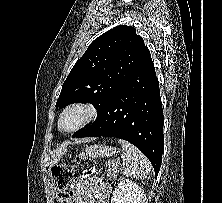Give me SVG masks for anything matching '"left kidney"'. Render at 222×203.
<instances>
[{"mask_svg":"<svg viewBox=\"0 0 222 203\" xmlns=\"http://www.w3.org/2000/svg\"><path fill=\"white\" fill-rule=\"evenodd\" d=\"M145 193L135 182L121 180L113 192L111 203H145Z\"/></svg>","mask_w":222,"mask_h":203,"instance_id":"obj_1","label":"left kidney"}]
</instances>
